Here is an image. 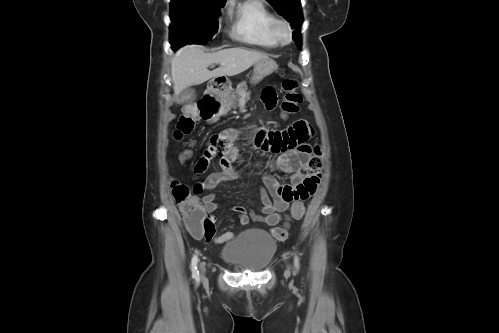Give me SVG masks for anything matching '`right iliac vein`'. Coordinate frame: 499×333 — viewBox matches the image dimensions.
<instances>
[{
	"label": "right iliac vein",
	"mask_w": 499,
	"mask_h": 333,
	"mask_svg": "<svg viewBox=\"0 0 499 333\" xmlns=\"http://www.w3.org/2000/svg\"><path fill=\"white\" fill-rule=\"evenodd\" d=\"M199 267H200V271H201V277L204 278L205 272H206L205 264L202 262V263H200Z\"/></svg>",
	"instance_id": "right-iliac-vein-1"
}]
</instances>
